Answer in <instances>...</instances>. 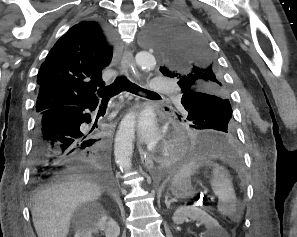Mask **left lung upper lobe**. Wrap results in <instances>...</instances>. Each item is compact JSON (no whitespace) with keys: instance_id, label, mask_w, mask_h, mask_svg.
Segmentation results:
<instances>
[{"instance_id":"left-lung-upper-lobe-1","label":"left lung upper lobe","mask_w":297,"mask_h":237,"mask_svg":"<svg viewBox=\"0 0 297 237\" xmlns=\"http://www.w3.org/2000/svg\"><path fill=\"white\" fill-rule=\"evenodd\" d=\"M148 38L163 61L160 71L182 89L181 112L187 119L199 125L210 121L213 127L234 134L229 92L205 41L167 21L155 22Z\"/></svg>"}]
</instances>
